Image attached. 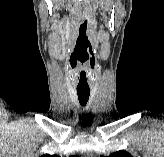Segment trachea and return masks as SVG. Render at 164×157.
<instances>
[{
	"mask_svg": "<svg viewBox=\"0 0 164 157\" xmlns=\"http://www.w3.org/2000/svg\"><path fill=\"white\" fill-rule=\"evenodd\" d=\"M78 99L82 106H85L88 102L90 90L89 89H77Z\"/></svg>",
	"mask_w": 164,
	"mask_h": 157,
	"instance_id": "trachea-1",
	"label": "trachea"
}]
</instances>
